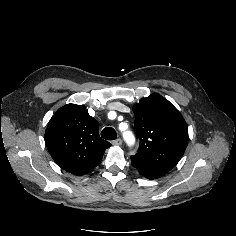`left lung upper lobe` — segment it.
Wrapping results in <instances>:
<instances>
[{"instance_id":"obj_1","label":"left lung upper lobe","mask_w":236,"mask_h":236,"mask_svg":"<svg viewBox=\"0 0 236 236\" xmlns=\"http://www.w3.org/2000/svg\"><path fill=\"white\" fill-rule=\"evenodd\" d=\"M134 128L140 139L131 164L148 179L169 172L181 159L188 144V126L177 109L164 97L151 94L133 107Z\"/></svg>"}]
</instances>
